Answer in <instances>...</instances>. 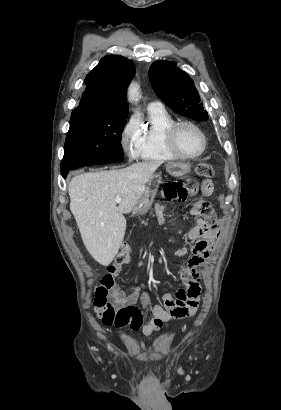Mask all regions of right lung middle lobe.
I'll return each mask as SVG.
<instances>
[{
    "mask_svg": "<svg viewBox=\"0 0 281 410\" xmlns=\"http://www.w3.org/2000/svg\"><path fill=\"white\" fill-rule=\"evenodd\" d=\"M127 115L93 108L74 109L65 141L61 172L122 159L124 154L120 141Z\"/></svg>",
    "mask_w": 281,
    "mask_h": 410,
    "instance_id": "obj_1",
    "label": "right lung middle lobe"
}]
</instances>
